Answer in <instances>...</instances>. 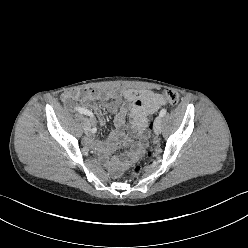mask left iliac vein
<instances>
[{"mask_svg": "<svg viewBox=\"0 0 248 248\" xmlns=\"http://www.w3.org/2000/svg\"><path fill=\"white\" fill-rule=\"evenodd\" d=\"M161 123H162V119L160 116L156 117L155 121H154V132L155 134H160L161 132Z\"/></svg>", "mask_w": 248, "mask_h": 248, "instance_id": "4c4485c4", "label": "left iliac vein"}]
</instances>
